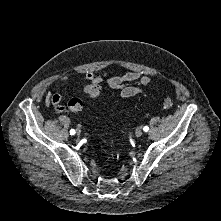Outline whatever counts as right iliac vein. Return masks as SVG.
Segmentation results:
<instances>
[{"label":"right iliac vein","mask_w":221,"mask_h":221,"mask_svg":"<svg viewBox=\"0 0 221 221\" xmlns=\"http://www.w3.org/2000/svg\"><path fill=\"white\" fill-rule=\"evenodd\" d=\"M76 133H77L78 136H80V135H81V129H80V128H77V129H76Z\"/></svg>","instance_id":"63e3f726"}]
</instances>
